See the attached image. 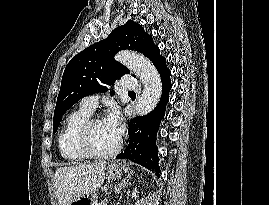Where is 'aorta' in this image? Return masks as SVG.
<instances>
[{
    "label": "aorta",
    "mask_w": 269,
    "mask_h": 205,
    "mask_svg": "<svg viewBox=\"0 0 269 205\" xmlns=\"http://www.w3.org/2000/svg\"><path fill=\"white\" fill-rule=\"evenodd\" d=\"M115 59L132 70L142 81L144 89L137 101L136 113L140 116L147 115L156 107L162 94V83L157 69L145 56L132 51H120Z\"/></svg>",
    "instance_id": "obj_1"
}]
</instances>
